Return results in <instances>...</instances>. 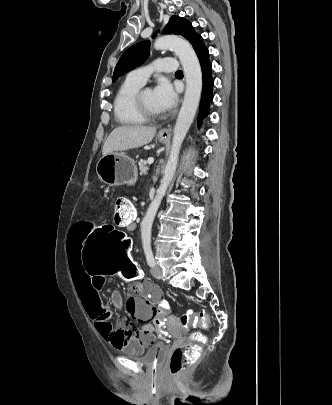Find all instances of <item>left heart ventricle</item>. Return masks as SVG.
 Wrapping results in <instances>:
<instances>
[{
  "mask_svg": "<svg viewBox=\"0 0 332 405\" xmlns=\"http://www.w3.org/2000/svg\"><path fill=\"white\" fill-rule=\"evenodd\" d=\"M143 100L147 106V108L156 114H160L161 111L157 108L155 101H154V95H153V90L147 89L144 94H143Z\"/></svg>",
  "mask_w": 332,
  "mask_h": 405,
  "instance_id": "b2bd125f",
  "label": "left heart ventricle"
}]
</instances>
